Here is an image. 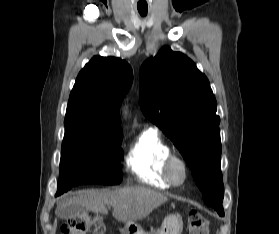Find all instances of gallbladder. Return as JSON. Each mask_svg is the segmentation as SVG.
Returning a JSON list of instances; mask_svg holds the SVG:
<instances>
[{
	"mask_svg": "<svg viewBox=\"0 0 279 234\" xmlns=\"http://www.w3.org/2000/svg\"><path fill=\"white\" fill-rule=\"evenodd\" d=\"M85 213V210L80 205H69L62 213L60 217L63 219H69L76 216H80Z\"/></svg>",
	"mask_w": 279,
	"mask_h": 234,
	"instance_id": "bac80fb5",
	"label": "gallbladder"
}]
</instances>
